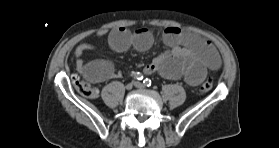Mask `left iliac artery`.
<instances>
[{
  "mask_svg": "<svg viewBox=\"0 0 279 148\" xmlns=\"http://www.w3.org/2000/svg\"><path fill=\"white\" fill-rule=\"evenodd\" d=\"M143 83H144V85L147 86V87L151 86V80L148 79V78H146V79L143 81Z\"/></svg>",
  "mask_w": 279,
  "mask_h": 148,
  "instance_id": "left-iliac-artery-1",
  "label": "left iliac artery"
}]
</instances>
